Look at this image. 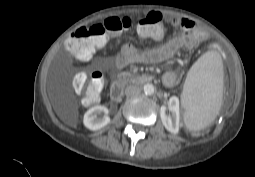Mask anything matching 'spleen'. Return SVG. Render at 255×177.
I'll return each mask as SVG.
<instances>
[{"instance_id": "spleen-1", "label": "spleen", "mask_w": 255, "mask_h": 177, "mask_svg": "<svg viewBox=\"0 0 255 177\" xmlns=\"http://www.w3.org/2000/svg\"><path fill=\"white\" fill-rule=\"evenodd\" d=\"M223 96V63L216 51L204 53L190 68L181 95L184 121L193 131L209 126L217 117Z\"/></svg>"}]
</instances>
